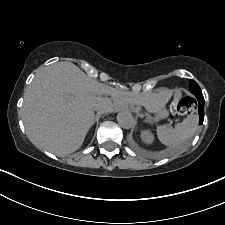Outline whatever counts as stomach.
<instances>
[{
    "instance_id": "0dacf381",
    "label": "stomach",
    "mask_w": 225,
    "mask_h": 225,
    "mask_svg": "<svg viewBox=\"0 0 225 225\" xmlns=\"http://www.w3.org/2000/svg\"><path fill=\"white\" fill-rule=\"evenodd\" d=\"M169 97L170 95L167 92L153 95L144 103L143 106H145L148 111L161 114L162 117H165L167 115L165 105Z\"/></svg>"
}]
</instances>
